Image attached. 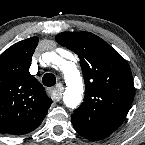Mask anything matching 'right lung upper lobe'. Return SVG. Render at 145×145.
<instances>
[{"instance_id":"cb5924a9","label":"right lung upper lobe","mask_w":145,"mask_h":145,"mask_svg":"<svg viewBox=\"0 0 145 145\" xmlns=\"http://www.w3.org/2000/svg\"><path fill=\"white\" fill-rule=\"evenodd\" d=\"M38 37L14 44L0 56V132L21 135L43 121L52 100L29 73Z\"/></svg>"}]
</instances>
